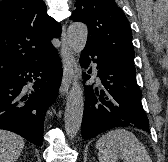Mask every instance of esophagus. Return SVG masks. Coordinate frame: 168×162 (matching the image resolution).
Here are the masks:
<instances>
[{"label":"esophagus","mask_w":168,"mask_h":162,"mask_svg":"<svg viewBox=\"0 0 168 162\" xmlns=\"http://www.w3.org/2000/svg\"><path fill=\"white\" fill-rule=\"evenodd\" d=\"M61 55L63 62V77L60 87V96L64 97L68 94L70 86L74 82L76 73L78 72L77 61L71 51L66 37V27H63L61 34Z\"/></svg>","instance_id":"obj_1"}]
</instances>
